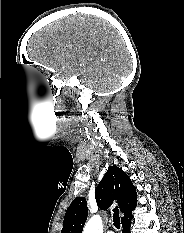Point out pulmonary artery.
I'll list each match as a JSON object with an SVG mask.
<instances>
[{"mask_svg":"<svg viewBox=\"0 0 184 233\" xmlns=\"http://www.w3.org/2000/svg\"><path fill=\"white\" fill-rule=\"evenodd\" d=\"M107 233H114L112 230L107 231Z\"/></svg>","mask_w":184,"mask_h":233,"instance_id":"pulmonary-artery-1","label":"pulmonary artery"}]
</instances>
